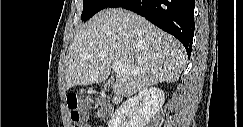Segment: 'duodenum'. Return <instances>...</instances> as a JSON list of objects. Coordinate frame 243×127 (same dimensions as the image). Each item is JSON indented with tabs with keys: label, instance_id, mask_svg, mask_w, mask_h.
I'll return each mask as SVG.
<instances>
[{
	"label": "duodenum",
	"instance_id": "1",
	"mask_svg": "<svg viewBox=\"0 0 243 127\" xmlns=\"http://www.w3.org/2000/svg\"><path fill=\"white\" fill-rule=\"evenodd\" d=\"M123 101V99L121 97H114L113 98V102L114 104L118 105Z\"/></svg>",
	"mask_w": 243,
	"mask_h": 127
}]
</instances>
